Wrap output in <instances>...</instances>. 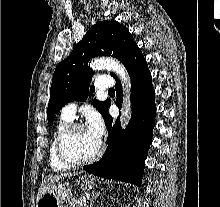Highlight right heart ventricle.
<instances>
[{
    "mask_svg": "<svg viewBox=\"0 0 220 207\" xmlns=\"http://www.w3.org/2000/svg\"><path fill=\"white\" fill-rule=\"evenodd\" d=\"M70 119L66 118V117H61L60 121L58 122L55 132L53 134L50 146H49V164L50 167L55 170V171H62V170H66L69 167L64 165L63 163H61L59 161V159L57 158L56 155V150H55V144H56V139L59 135V133L62 131V129L68 125L70 123Z\"/></svg>",
    "mask_w": 220,
    "mask_h": 207,
    "instance_id": "obj_1",
    "label": "right heart ventricle"
}]
</instances>
